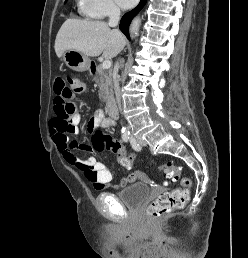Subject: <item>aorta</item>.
<instances>
[{
  "label": "aorta",
  "mask_w": 248,
  "mask_h": 258,
  "mask_svg": "<svg viewBox=\"0 0 248 258\" xmlns=\"http://www.w3.org/2000/svg\"><path fill=\"white\" fill-rule=\"evenodd\" d=\"M140 25H141V19L140 18H135L130 26V35L132 37H135L138 35L139 29H140ZM122 132H126V128H122Z\"/></svg>",
  "instance_id": "obj_1"
}]
</instances>
